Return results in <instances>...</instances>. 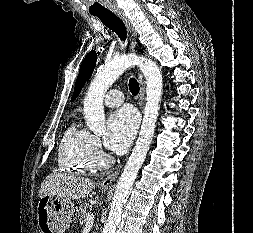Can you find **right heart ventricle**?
<instances>
[{
    "mask_svg": "<svg viewBox=\"0 0 253 233\" xmlns=\"http://www.w3.org/2000/svg\"><path fill=\"white\" fill-rule=\"evenodd\" d=\"M93 135L74 123L63 133L57 152V163L61 171L83 174L93 169Z\"/></svg>",
    "mask_w": 253,
    "mask_h": 233,
    "instance_id": "e07e8e85",
    "label": "right heart ventricle"
}]
</instances>
